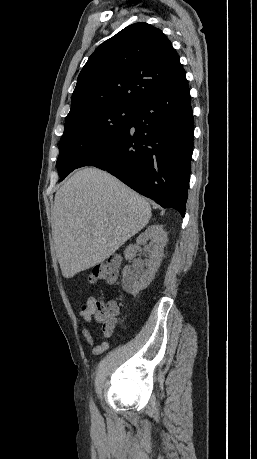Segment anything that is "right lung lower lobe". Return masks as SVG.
I'll use <instances>...</instances> for the list:
<instances>
[{
  "label": "right lung lower lobe",
  "instance_id": "right-lung-lower-lobe-1",
  "mask_svg": "<svg viewBox=\"0 0 257 459\" xmlns=\"http://www.w3.org/2000/svg\"><path fill=\"white\" fill-rule=\"evenodd\" d=\"M188 82L175 83L143 100L125 131L79 167L95 166L185 216L194 122Z\"/></svg>",
  "mask_w": 257,
  "mask_h": 459
}]
</instances>
